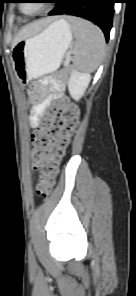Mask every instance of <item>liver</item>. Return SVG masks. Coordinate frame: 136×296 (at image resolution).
<instances>
[{
	"mask_svg": "<svg viewBox=\"0 0 136 296\" xmlns=\"http://www.w3.org/2000/svg\"><path fill=\"white\" fill-rule=\"evenodd\" d=\"M51 19H43L24 26L15 37L13 45L18 41L25 39L33 34L38 33L44 26H46Z\"/></svg>",
	"mask_w": 136,
	"mask_h": 296,
	"instance_id": "liver-1",
	"label": "liver"
}]
</instances>
